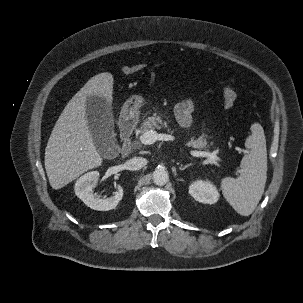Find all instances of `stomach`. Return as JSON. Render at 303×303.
Returning <instances> with one entry per match:
<instances>
[{
  "mask_svg": "<svg viewBox=\"0 0 303 303\" xmlns=\"http://www.w3.org/2000/svg\"><path fill=\"white\" fill-rule=\"evenodd\" d=\"M143 104L144 98L141 95H133L125 102L122 113L127 118H135Z\"/></svg>",
  "mask_w": 303,
  "mask_h": 303,
  "instance_id": "0dacf381",
  "label": "stomach"
}]
</instances>
